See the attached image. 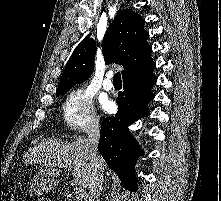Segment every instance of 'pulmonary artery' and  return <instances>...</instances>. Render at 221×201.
<instances>
[{"instance_id":"1","label":"pulmonary artery","mask_w":221,"mask_h":201,"mask_svg":"<svg viewBox=\"0 0 221 201\" xmlns=\"http://www.w3.org/2000/svg\"><path fill=\"white\" fill-rule=\"evenodd\" d=\"M112 73H107L105 79L103 80L102 86L105 90H111L113 88V83L111 81Z\"/></svg>"}]
</instances>
